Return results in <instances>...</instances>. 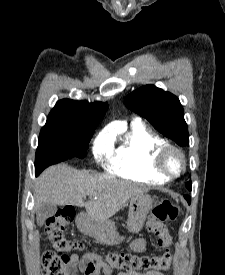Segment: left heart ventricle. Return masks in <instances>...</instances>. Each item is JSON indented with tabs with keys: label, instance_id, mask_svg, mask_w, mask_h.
Returning a JSON list of instances; mask_svg holds the SVG:
<instances>
[{
	"label": "left heart ventricle",
	"instance_id": "b2bd125f",
	"mask_svg": "<svg viewBox=\"0 0 225 275\" xmlns=\"http://www.w3.org/2000/svg\"><path fill=\"white\" fill-rule=\"evenodd\" d=\"M169 165L173 170H179L181 167L180 159L176 155H172L169 159Z\"/></svg>",
	"mask_w": 225,
	"mask_h": 275
}]
</instances>
